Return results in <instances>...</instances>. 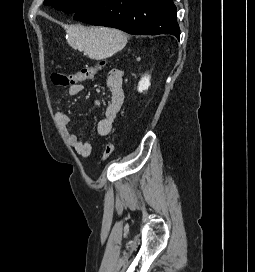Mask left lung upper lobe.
<instances>
[{
    "mask_svg": "<svg viewBox=\"0 0 255 272\" xmlns=\"http://www.w3.org/2000/svg\"><path fill=\"white\" fill-rule=\"evenodd\" d=\"M95 0H45L44 5H52L54 8L66 13H76L89 5Z\"/></svg>",
    "mask_w": 255,
    "mask_h": 272,
    "instance_id": "5c2ea615",
    "label": "left lung upper lobe"
}]
</instances>
